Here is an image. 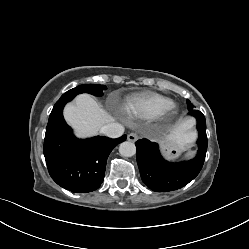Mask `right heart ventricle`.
Segmentation results:
<instances>
[{
    "instance_id": "obj_1",
    "label": "right heart ventricle",
    "mask_w": 249,
    "mask_h": 249,
    "mask_svg": "<svg viewBox=\"0 0 249 249\" xmlns=\"http://www.w3.org/2000/svg\"><path fill=\"white\" fill-rule=\"evenodd\" d=\"M173 105V101L157 93L147 92L134 96L126 102L124 111L133 116L153 118Z\"/></svg>"
}]
</instances>
